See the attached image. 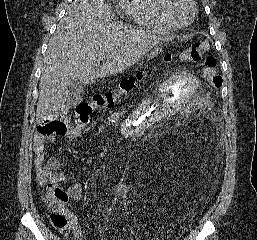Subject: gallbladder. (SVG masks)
Wrapping results in <instances>:
<instances>
[{
	"label": "gallbladder",
	"instance_id": "obj_1",
	"mask_svg": "<svg viewBox=\"0 0 257 240\" xmlns=\"http://www.w3.org/2000/svg\"><path fill=\"white\" fill-rule=\"evenodd\" d=\"M84 85L77 80H72L69 94L66 99V106L68 108L76 107L83 99Z\"/></svg>",
	"mask_w": 257,
	"mask_h": 240
}]
</instances>
